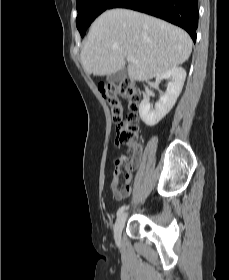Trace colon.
<instances>
[{
	"label": "colon",
	"mask_w": 229,
	"mask_h": 280,
	"mask_svg": "<svg viewBox=\"0 0 229 280\" xmlns=\"http://www.w3.org/2000/svg\"><path fill=\"white\" fill-rule=\"evenodd\" d=\"M99 91L109 106L111 118L117 126L116 140L125 144L128 148H133L135 146L134 138L138 122L137 104L140 96L139 89L131 78L126 77L120 82L100 85ZM122 100L128 102V112L125 111ZM124 160L128 163L127 158H124ZM128 188L126 185L119 186L117 184L112 187V191L123 192L128 190Z\"/></svg>",
	"instance_id": "5ec220e1"
}]
</instances>
